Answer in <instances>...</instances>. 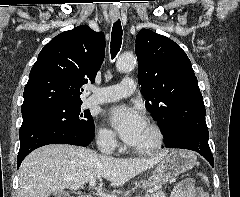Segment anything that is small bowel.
Returning <instances> with one entry per match:
<instances>
[{"mask_svg": "<svg viewBox=\"0 0 240 197\" xmlns=\"http://www.w3.org/2000/svg\"><path fill=\"white\" fill-rule=\"evenodd\" d=\"M171 197H209V195L202 188H197L192 181H185L173 191Z\"/></svg>", "mask_w": 240, "mask_h": 197, "instance_id": "small-bowel-1", "label": "small bowel"}]
</instances>
